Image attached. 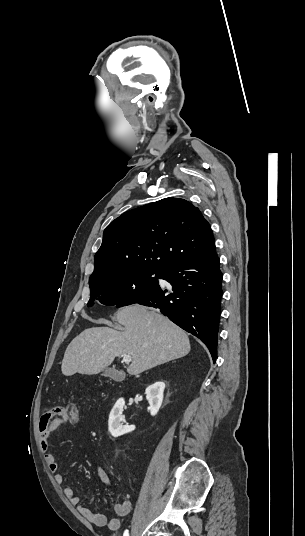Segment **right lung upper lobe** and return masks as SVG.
<instances>
[{
	"mask_svg": "<svg viewBox=\"0 0 305 536\" xmlns=\"http://www.w3.org/2000/svg\"><path fill=\"white\" fill-rule=\"evenodd\" d=\"M214 246L210 225L197 207L165 198L127 211L106 227L89 282L139 270L165 271Z\"/></svg>",
	"mask_w": 305,
	"mask_h": 536,
	"instance_id": "1",
	"label": "right lung upper lobe"
}]
</instances>
